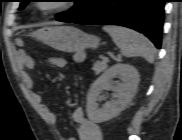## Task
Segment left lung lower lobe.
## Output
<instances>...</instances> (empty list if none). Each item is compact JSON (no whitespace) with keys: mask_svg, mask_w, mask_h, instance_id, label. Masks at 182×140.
Segmentation results:
<instances>
[{"mask_svg":"<svg viewBox=\"0 0 182 140\" xmlns=\"http://www.w3.org/2000/svg\"><path fill=\"white\" fill-rule=\"evenodd\" d=\"M165 2L166 0H102L92 12L70 23L128 27L146 35L160 49Z\"/></svg>","mask_w":182,"mask_h":140,"instance_id":"obj_1","label":"left lung lower lobe"}]
</instances>
